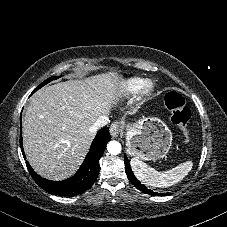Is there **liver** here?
Instances as JSON below:
<instances>
[{
  "instance_id": "obj_1",
  "label": "liver",
  "mask_w": 227,
  "mask_h": 227,
  "mask_svg": "<svg viewBox=\"0 0 227 227\" xmlns=\"http://www.w3.org/2000/svg\"><path fill=\"white\" fill-rule=\"evenodd\" d=\"M125 90L117 73L46 86L31 98L23 120V145L33 169L50 180L72 176L83 162L96 130Z\"/></svg>"
}]
</instances>
